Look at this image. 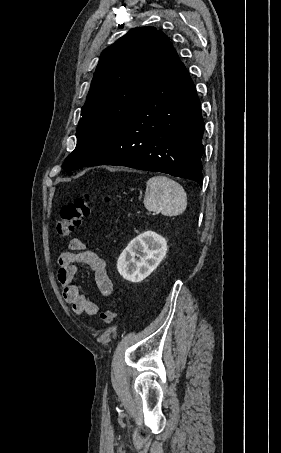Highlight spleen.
<instances>
[{"instance_id":"1","label":"spleen","mask_w":281,"mask_h":453,"mask_svg":"<svg viewBox=\"0 0 281 453\" xmlns=\"http://www.w3.org/2000/svg\"><path fill=\"white\" fill-rule=\"evenodd\" d=\"M144 206L152 212L176 216L187 206L186 192L179 182L168 176H152L147 180Z\"/></svg>"}]
</instances>
